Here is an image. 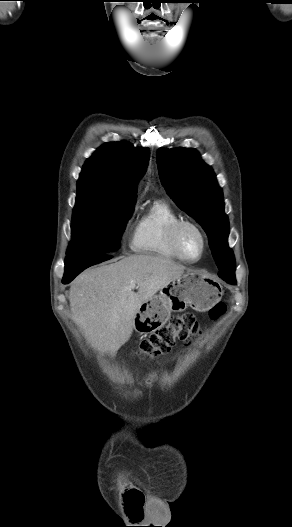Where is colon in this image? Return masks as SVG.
<instances>
[{
  "label": "colon",
  "instance_id": "5ec220e1",
  "mask_svg": "<svg viewBox=\"0 0 292 527\" xmlns=\"http://www.w3.org/2000/svg\"><path fill=\"white\" fill-rule=\"evenodd\" d=\"M225 310V304L219 303L210 310V317L216 320L224 314ZM200 332V326L193 314L173 316L166 325L140 343L137 353L156 358L169 352L178 341L190 343ZM124 501L125 504H131L136 513L141 512L142 495L132 485L127 487Z\"/></svg>",
  "mask_w": 292,
  "mask_h": 527
}]
</instances>
